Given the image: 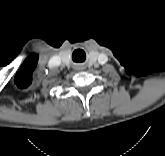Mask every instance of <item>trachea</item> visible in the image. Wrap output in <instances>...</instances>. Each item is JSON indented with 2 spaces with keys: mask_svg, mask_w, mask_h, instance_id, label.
Listing matches in <instances>:
<instances>
[{
  "mask_svg": "<svg viewBox=\"0 0 165 156\" xmlns=\"http://www.w3.org/2000/svg\"><path fill=\"white\" fill-rule=\"evenodd\" d=\"M85 53L83 50H75L72 54V59L76 61V59L84 57Z\"/></svg>",
  "mask_w": 165,
  "mask_h": 156,
  "instance_id": "trachea-1",
  "label": "trachea"
}]
</instances>
